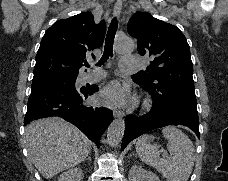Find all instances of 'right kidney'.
I'll return each mask as SVG.
<instances>
[{"label":"right kidney","instance_id":"1","mask_svg":"<svg viewBox=\"0 0 228 181\" xmlns=\"http://www.w3.org/2000/svg\"><path fill=\"white\" fill-rule=\"evenodd\" d=\"M84 173L81 169H69L66 173H62L60 177H58V181H82Z\"/></svg>","mask_w":228,"mask_h":181}]
</instances>
